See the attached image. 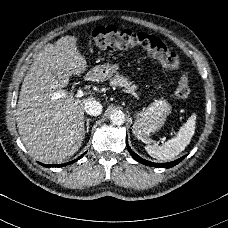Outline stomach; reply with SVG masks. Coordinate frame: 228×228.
Here are the masks:
<instances>
[{
    "mask_svg": "<svg viewBox=\"0 0 228 228\" xmlns=\"http://www.w3.org/2000/svg\"><path fill=\"white\" fill-rule=\"evenodd\" d=\"M120 66L104 64L95 66L87 77L91 80L106 81L118 74ZM173 111V106L165 98H155L142 110L134 112L133 132L142 140H147L151 135L158 133L165 125Z\"/></svg>",
    "mask_w": 228,
    "mask_h": 228,
    "instance_id": "obj_1",
    "label": "stomach"
}]
</instances>
